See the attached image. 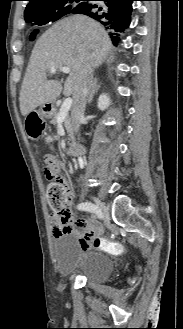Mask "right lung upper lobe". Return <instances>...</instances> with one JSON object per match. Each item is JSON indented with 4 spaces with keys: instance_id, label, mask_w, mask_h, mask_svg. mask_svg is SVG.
<instances>
[{
    "instance_id": "1",
    "label": "right lung upper lobe",
    "mask_w": 183,
    "mask_h": 329,
    "mask_svg": "<svg viewBox=\"0 0 183 329\" xmlns=\"http://www.w3.org/2000/svg\"><path fill=\"white\" fill-rule=\"evenodd\" d=\"M29 3L25 9V20L29 18H41L48 14L54 4L65 0H28Z\"/></svg>"
}]
</instances>
